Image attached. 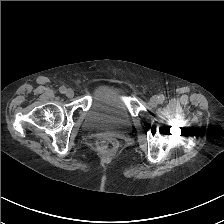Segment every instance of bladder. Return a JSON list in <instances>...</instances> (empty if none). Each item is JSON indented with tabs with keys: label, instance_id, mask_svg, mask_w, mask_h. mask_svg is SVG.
I'll use <instances>...</instances> for the list:
<instances>
[{
	"label": "bladder",
	"instance_id": "1",
	"mask_svg": "<svg viewBox=\"0 0 224 224\" xmlns=\"http://www.w3.org/2000/svg\"><path fill=\"white\" fill-rule=\"evenodd\" d=\"M131 127L123 89L111 83L98 86L85 114L83 129L89 133L125 134Z\"/></svg>",
	"mask_w": 224,
	"mask_h": 224
}]
</instances>
